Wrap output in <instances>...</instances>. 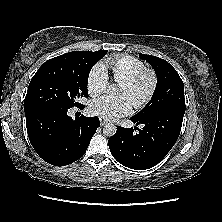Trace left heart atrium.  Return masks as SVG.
Here are the masks:
<instances>
[{
  "instance_id": "obj_1",
  "label": "left heart atrium",
  "mask_w": 222,
  "mask_h": 222,
  "mask_svg": "<svg viewBox=\"0 0 222 222\" xmlns=\"http://www.w3.org/2000/svg\"><path fill=\"white\" fill-rule=\"evenodd\" d=\"M90 109L105 120H115L129 114L132 103L125 95H104L93 100Z\"/></svg>"
}]
</instances>
